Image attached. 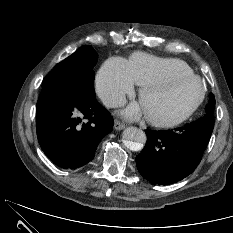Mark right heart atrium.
<instances>
[{
    "instance_id": "1",
    "label": "right heart atrium",
    "mask_w": 233,
    "mask_h": 233,
    "mask_svg": "<svg viewBox=\"0 0 233 233\" xmlns=\"http://www.w3.org/2000/svg\"><path fill=\"white\" fill-rule=\"evenodd\" d=\"M127 63L122 58L108 59L97 71L94 78V91L101 102L108 108L121 106L134 94Z\"/></svg>"
}]
</instances>
